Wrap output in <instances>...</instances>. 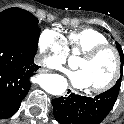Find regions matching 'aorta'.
I'll use <instances>...</instances> for the list:
<instances>
[{
	"label": "aorta",
	"mask_w": 124,
	"mask_h": 124,
	"mask_svg": "<svg viewBox=\"0 0 124 124\" xmlns=\"http://www.w3.org/2000/svg\"><path fill=\"white\" fill-rule=\"evenodd\" d=\"M43 88L46 92L52 95H61L67 89V81L63 76L50 75L43 83Z\"/></svg>",
	"instance_id": "obj_1"
}]
</instances>
